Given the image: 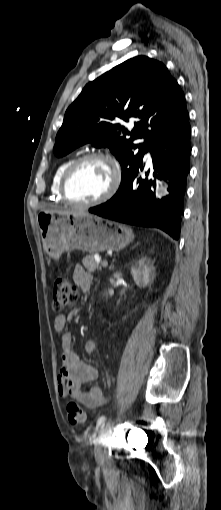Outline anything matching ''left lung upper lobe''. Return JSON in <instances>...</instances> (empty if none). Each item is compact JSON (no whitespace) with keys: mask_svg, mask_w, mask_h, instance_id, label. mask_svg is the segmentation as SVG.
<instances>
[{"mask_svg":"<svg viewBox=\"0 0 221 510\" xmlns=\"http://www.w3.org/2000/svg\"><path fill=\"white\" fill-rule=\"evenodd\" d=\"M129 118L137 120L130 132L119 123ZM188 119L184 94L165 65L137 56L84 87L65 113L54 153L64 156L89 142L107 146L121 164L120 192L141 165L149 144ZM143 137V144L134 143Z\"/></svg>","mask_w":221,"mask_h":510,"instance_id":"1","label":"left lung upper lobe"}]
</instances>
